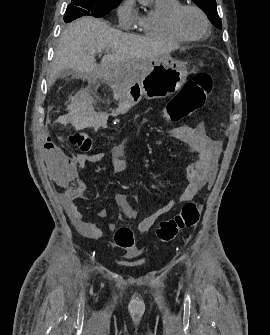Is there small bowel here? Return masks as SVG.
<instances>
[{"label": "small bowel", "instance_id": "small-bowel-1", "mask_svg": "<svg viewBox=\"0 0 270 335\" xmlns=\"http://www.w3.org/2000/svg\"><path fill=\"white\" fill-rule=\"evenodd\" d=\"M187 134L191 139V146L199 155V159L186 168L187 187L180 196V202L192 200L204 186L213 182L217 171V155L221 149V142L207 136L203 125L187 130ZM45 150L47 158H45L44 163L45 165H52L48 173L49 178H70L69 181L72 182V185L68 186L67 184V189L63 195L66 211L70 219L83 236L90 239L100 238L103 235L102 231L93 223L86 221L78 207L77 201L85 198L86 187L81 180L77 179L78 173L76 168H83L87 164L102 161L104 153L80 154L73 160V158H62V156H66L67 151L66 149H58L57 144H46ZM111 163L114 173L120 174L126 171L127 162L123 156V149L120 146L112 148ZM114 201L119 206L124 217L129 219L135 217L132 203L127 195L116 193ZM174 206L175 201L170 200L157 212L143 219L138 224V231L141 233L148 232L158 218L168 213ZM97 215L100 218H104L107 216V211L102 209ZM109 229L110 231H114L115 226L110 225Z\"/></svg>", "mask_w": 270, "mask_h": 335}]
</instances>
